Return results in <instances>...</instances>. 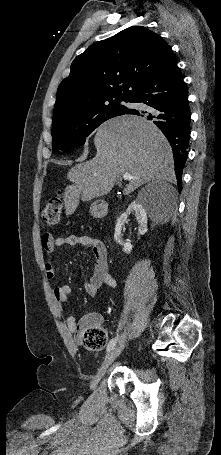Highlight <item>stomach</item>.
Masks as SVG:
<instances>
[{
	"label": "stomach",
	"instance_id": "obj_1",
	"mask_svg": "<svg viewBox=\"0 0 221 455\" xmlns=\"http://www.w3.org/2000/svg\"><path fill=\"white\" fill-rule=\"evenodd\" d=\"M97 211V204L94 203L92 206H91V213L95 214Z\"/></svg>",
	"mask_w": 221,
	"mask_h": 455
}]
</instances>
